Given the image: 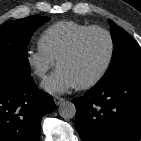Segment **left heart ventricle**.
<instances>
[{"mask_svg": "<svg viewBox=\"0 0 141 141\" xmlns=\"http://www.w3.org/2000/svg\"><path fill=\"white\" fill-rule=\"evenodd\" d=\"M109 52V42L105 34L92 32L82 41L77 51L62 60L58 68L66 70L77 84L94 77L104 65Z\"/></svg>", "mask_w": 141, "mask_h": 141, "instance_id": "1", "label": "left heart ventricle"}]
</instances>
